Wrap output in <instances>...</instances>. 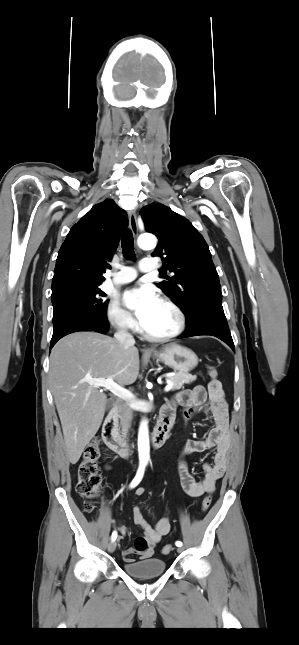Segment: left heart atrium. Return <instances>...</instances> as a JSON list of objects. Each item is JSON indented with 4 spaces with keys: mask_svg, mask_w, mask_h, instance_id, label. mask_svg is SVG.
<instances>
[{
    "mask_svg": "<svg viewBox=\"0 0 299 645\" xmlns=\"http://www.w3.org/2000/svg\"><path fill=\"white\" fill-rule=\"evenodd\" d=\"M123 302L133 306L134 314L143 327L160 304L156 292L148 286H139L123 294Z\"/></svg>",
    "mask_w": 299,
    "mask_h": 645,
    "instance_id": "obj_1",
    "label": "left heart atrium"
}]
</instances>
